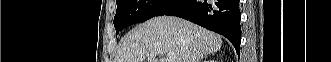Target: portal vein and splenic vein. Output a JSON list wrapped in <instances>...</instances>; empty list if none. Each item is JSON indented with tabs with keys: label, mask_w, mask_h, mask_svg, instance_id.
Here are the masks:
<instances>
[{
	"label": "portal vein and splenic vein",
	"mask_w": 331,
	"mask_h": 62,
	"mask_svg": "<svg viewBox=\"0 0 331 62\" xmlns=\"http://www.w3.org/2000/svg\"><path fill=\"white\" fill-rule=\"evenodd\" d=\"M165 62H175V56L172 54H167Z\"/></svg>",
	"instance_id": "portal-vein-and-splenic-vein-1"
}]
</instances>
